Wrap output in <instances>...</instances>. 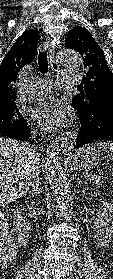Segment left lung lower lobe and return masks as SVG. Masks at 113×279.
<instances>
[{
	"label": "left lung lower lobe",
	"instance_id": "left-lung-lower-lobe-1",
	"mask_svg": "<svg viewBox=\"0 0 113 279\" xmlns=\"http://www.w3.org/2000/svg\"><path fill=\"white\" fill-rule=\"evenodd\" d=\"M81 121L80 133L74 144L79 148L85 144L101 141H113V103H100L88 108L78 102H73Z\"/></svg>",
	"mask_w": 113,
	"mask_h": 279
}]
</instances>
